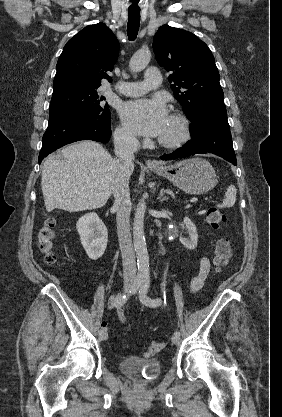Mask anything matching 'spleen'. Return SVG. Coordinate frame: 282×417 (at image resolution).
I'll return each instance as SVG.
<instances>
[{
    "mask_svg": "<svg viewBox=\"0 0 282 417\" xmlns=\"http://www.w3.org/2000/svg\"><path fill=\"white\" fill-rule=\"evenodd\" d=\"M236 192H237V188L236 186H234V184H231V186H228L225 192V198L223 202H221V204H217V206H219V209H225V206H233L236 200Z\"/></svg>",
    "mask_w": 282,
    "mask_h": 417,
    "instance_id": "1",
    "label": "spleen"
}]
</instances>
